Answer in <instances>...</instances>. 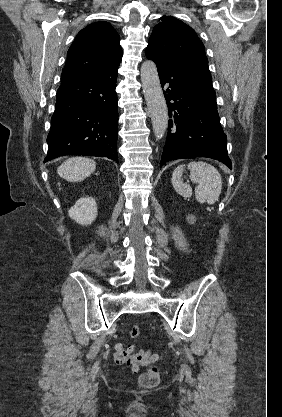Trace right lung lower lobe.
Listing matches in <instances>:
<instances>
[{"label":"right lung lower lobe","mask_w":282,"mask_h":417,"mask_svg":"<svg viewBox=\"0 0 282 417\" xmlns=\"http://www.w3.org/2000/svg\"><path fill=\"white\" fill-rule=\"evenodd\" d=\"M117 67L61 83L44 162L64 155L107 157L118 163Z\"/></svg>","instance_id":"obj_1"}]
</instances>
